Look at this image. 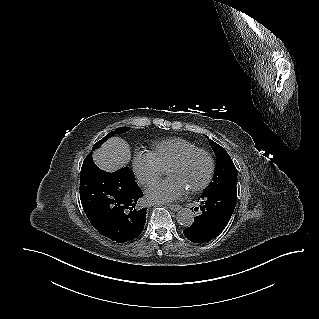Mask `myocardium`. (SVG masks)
<instances>
[{"label":"myocardium","mask_w":319,"mask_h":319,"mask_svg":"<svg viewBox=\"0 0 319 319\" xmlns=\"http://www.w3.org/2000/svg\"><path fill=\"white\" fill-rule=\"evenodd\" d=\"M198 154H202L207 158L208 164H209V169H208V173H207V176L205 177L204 181L201 184H199L198 186L190 189L189 190L190 193H198V192L204 190L212 181V178L214 176V171H215V162H214L212 155L206 149L195 148V149H192V150H189V151H186L185 153H183L180 157H178L176 160H174L167 167V172H168L172 168L183 165L191 157L198 155Z\"/></svg>","instance_id":"f54148a6"}]
</instances>
